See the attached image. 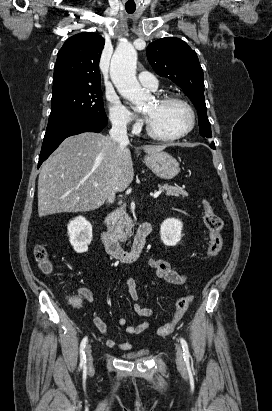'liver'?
Segmentation results:
<instances>
[{"label": "liver", "mask_w": 272, "mask_h": 411, "mask_svg": "<svg viewBox=\"0 0 272 411\" xmlns=\"http://www.w3.org/2000/svg\"><path fill=\"white\" fill-rule=\"evenodd\" d=\"M167 146L147 145L143 150L152 154ZM133 177L131 152L126 146L119 148L109 136L98 133L68 137L41 168L39 217L95 210L108 200L111 189L123 192Z\"/></svg>", "instance_id": "1"}]
</instances>
